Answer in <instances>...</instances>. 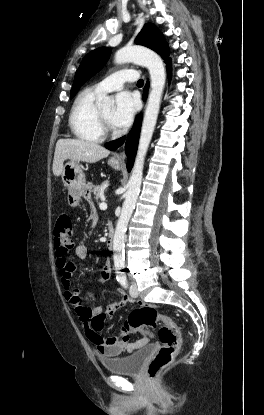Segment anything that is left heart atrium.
Segmentation results:
<instances>
[{"label":"left heart atrium","instance_id":"1","mask_svg":"<svg viewBox=\"0 0 264 415\" xmlns=\"http://www.w3.org/2000/svg\"><path fill=\"white\" fill-rule=\"evenodd\" d=\"M136 99L129 92H120L115 98L112 112V124L115 128H124L130 124L136 112Z\"/></svg>","mask_w":264,"mask_h":415}]
</instances>
